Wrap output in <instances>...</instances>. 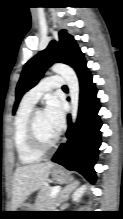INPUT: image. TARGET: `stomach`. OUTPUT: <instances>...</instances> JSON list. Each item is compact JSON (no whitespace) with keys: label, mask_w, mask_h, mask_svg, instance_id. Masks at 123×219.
<instances>
[{"label":"stomach","mask_w":123,"mask_h":219,"mask_svg":"<svg viewBox=\"0 0 123 219\" xmlns=\"http://www.w3.org/2000/svg\"><path fill=\"white\" fill-rule=\"evenodd\" d=\"M51 174L58 183H64L68 179L66 172L61 168H57V167L53 168ZM21 209L22 210H18V211H34L33 209H35V204L31 202H25L22 204Z\"/></svg>","instance_id":"obj_1"}]
</instances>
